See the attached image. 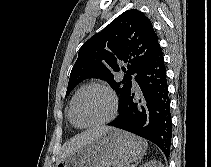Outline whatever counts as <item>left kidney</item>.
<instances>
[{"label":"left kidney","mask_w":211,"mask_h":167,"mask_svg":"<svg viewBox=\"0 0 211 167\" xmlns=\"http://www.w3.org/2000/svg\"><path fill=\"white\" fill-rule=\"evenodd\" d=\"M141 167H163V165L161 164V162H149Z\"/></svg>","instance_id":"5707ae66"}]
</instances>
